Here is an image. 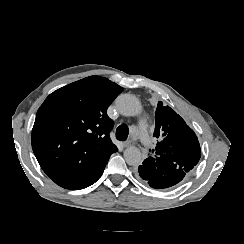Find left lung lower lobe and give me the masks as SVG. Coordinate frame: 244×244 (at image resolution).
<instances>
[{"instance_id": "obj_1", "label": "left lung lower lobe", "mask_w": 244, "mask_h": 244, "mask_svg": "<svg viewBox=\"0 0 244 244\" xmlns=\"http://www.w3.org/2000/svg\"><path fill=\"white\" fill-rule=\"evenodd\" d=\"M139 176L156 189L168 188L179 183L186 175V172L178 168L170 161L148 157L138 167Z\"/></svg>"}]
</instances>
